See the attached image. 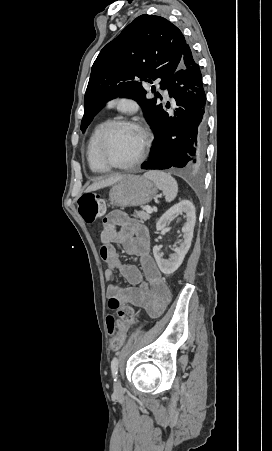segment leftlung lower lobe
<instances>
[{"mask_svg":"<svg viewBox=\"0 0 272 451\" xmlns=\"http://www.w3.org/2000/svg\"><path fill=\"white\" fill-rule=\"evenodd\" d=\"M175 99V116L162 110L157 121L155 144L143 169H192L203 164L206 136V94L200 67L187 45L181 63L167 85Z\"/></svg>","mask_w":272,"mask_h":451,"instance_id":"left-lung-lower-lobe-1","label":"left lung lower lobe"}]
</instances>
